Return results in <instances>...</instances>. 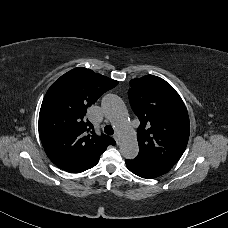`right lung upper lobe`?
I'll return each instance as SVG.
<instances>
[{
	"mask_svg": "<svg viewBox=\"0 0 228 228\" xmlns=\"http://www.w3.org/2000/svg\"><path fill=\"white\" fill-rule=\"evenodd\" d=\"M118 81L83 67L62 75L48 89L39 113V135L47 156L59 168L74 173L115 145L97 135L86 111Z\"/></svg>",
	"mask_w": 228,
	"mask_h": 228,
	"instance_id": "1",
	"label": "right lung upper lobe"
}]
</instances>
